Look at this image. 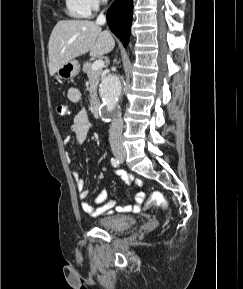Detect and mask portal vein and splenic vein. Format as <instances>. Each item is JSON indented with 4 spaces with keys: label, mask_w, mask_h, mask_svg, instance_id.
Here are the masks:
<instances>
[{
    "label": "portal vein and splenic vein",
    "mask_w": 243,
    "mask_h": 289,
    "mask_svg": "<svg viewBox=\"0 0 243 289\" xmlns=\"http://www.w3.org/2000/svg\"><path fill=\"white\" fill-rule=\"evenodd\" d=\"M104 67V61L102 59H98L93 62L91 69L92 70H100Z\"/></svg>",
    "instance_id": "portal-vein-and-splenic-vein-1"
}]
</instances>
